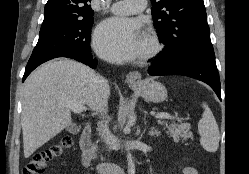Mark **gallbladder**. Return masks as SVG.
Wrapping results in <instances>:
<instances>
[{"mask_svg":"<svg viewBox=\"0 0 249 174\" xmlns=\"http://www.w3.org/2000/svg\"><path fill=\"white\" fill-rule=\"evenodd\" d=\"M76 130H78V127H77V125H75V124H72V125H70V126L68 127V131H69V132H74V131H76Z\"/></svg>","mask_w":249,"mask_h":174,"instance_id":"1","label":"gallbladder"}]
</instances>
